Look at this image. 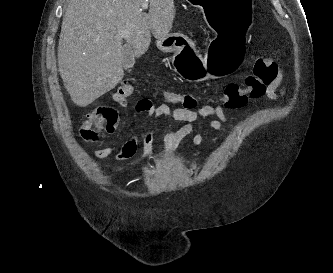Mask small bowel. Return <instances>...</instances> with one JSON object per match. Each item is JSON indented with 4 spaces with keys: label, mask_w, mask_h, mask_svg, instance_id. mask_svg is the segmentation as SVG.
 <instances>
[{
    "label": "small bowel",
    "mask_w": 333,
    "mask_h": 273,
    "mask_svg": "<svg viewBox=\"0 0 333 273\" xmlns=\"http://www.w3.org/2000/svg\"><path fill=\"white\" fill-rule=\"evenodd\" d=\"M285 93L284 72L280 65H276L274 78L267 85L265 96L272 101H277L281 99ZM113 99L123 108L128 105L127 98L120 96L118 93L114 95ZM136 108L138 114H148L149 116L146 130L141 139V162L148 159L153 149L154 132L152 130V122L155 118L169 117L174 121L184 122V125L179 129H168L166 131L164 139V151L166 155L174 153L181 141L194 131L196 124L202 119L213 118L208 122V127L218 133H222L224 125L229 124V118L225 113V109H183L182 107L173 108L165 103L153 106V102L150 101L148 96H144L142 101L138 102ZM229 110L238 111L240 109ZM219 139V136L214 139V146H216ZM139 141L137 136H133L127 140L118 151H115L114 146L99 148L94 151V157L98 160H103L115 153V159L118 161L131 159L137 152ZM202 142L203 135L199 132L195 133L192 138V146L197 148ZM109 168L113 169L112 167Z\"/></svg>",
    "instance_id": "small-bowel-1"
}]
</instances>
